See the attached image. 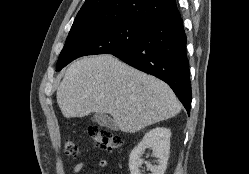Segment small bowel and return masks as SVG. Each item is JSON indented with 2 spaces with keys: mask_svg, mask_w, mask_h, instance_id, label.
I'll return each instance as SVG.
<instances>
[{
  "mask_svg": "<svg viewBox=\"0 0 249 174\" xmlns=\"http://www.w3.org/2000/svg\"><path fill=\"white\" fill-rule=\"evenodd\" d=\"M85 166V163L83 161L78 162L72 170V174H81L83 168ZM97 166L99 168H107L109 166V162L105 159L99 160L97 163Z\"/></svg>",
  "mask_w": 249,
  "mask_h": 174,
  "instance_id": "obj_1",
  "label": "small bowel"
}]
</instances>
